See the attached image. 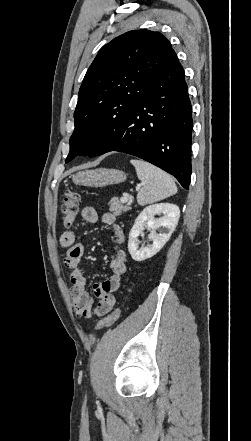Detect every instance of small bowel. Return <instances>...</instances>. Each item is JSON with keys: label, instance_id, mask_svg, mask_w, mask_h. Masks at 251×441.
<instances>
[{"label": "small bowel", "instance_id": "small-bowel-1", "mask_svg": "<svg viewBox=\"0 0 251 441\" xmlns=\"http://www.w3.org/2000/svg\"><path fill=\"white\" fill-rule=\"evenodd\" d=\"M80 216L88 223H96L98 221L97 212L91 206L83 207L80 210ZM101 221L111 231L115 243V251L110 262L112 275L93 285L94 296L98 299L96 307H94L93 297L86 290L87 279L82 268L84 245L77 241L76 234L73 231H65L60 236V244L67 250L64 257V265L71 271V299L77 315L84 318H91L94 315L103 316L114 308L116 303L114 293L120 288L121 277L127 271L128 259L122 247L124 243L122 229L116 223V218L112 213H104Z\"/></svg>", "mask_w": 251, "mask_h": 441}]
</instances>
